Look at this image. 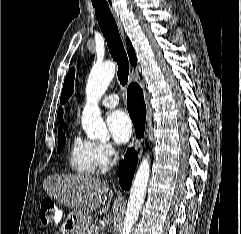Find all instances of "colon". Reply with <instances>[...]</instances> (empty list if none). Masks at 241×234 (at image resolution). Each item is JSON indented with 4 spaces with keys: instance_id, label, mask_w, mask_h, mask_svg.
Wrapping results in <instances>:
<instances>
[{
    "instance_id": "colon-1",
    "label": "colon",
    "mask_w": 241,
    "mask_h": 234,
    "mask_svg": "<svg viewBox=\"0 0 241 234\" xmlns=\"http://www.w3.org/2000/svg\"><path fill=\"white\" fill-rule=\"evenodd\" d=\"M60 219L58 209L51 200H44L41 203L39 222L43 226H51L58 223Z\"/></svg>"
}]
</instances>
